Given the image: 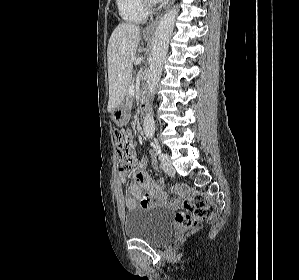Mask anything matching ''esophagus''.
<instances>
[{"instance_id":"34e87169","label":"esophagus","mask_w":299,"mask_h":280,"mask_svg":"<svg viewBox=\"0 0 299 280\" xmlns=\"http://www.w3.org/2000/svg\"><path fill=\"white\" fill-rule=\"evenodd\" d=\"M173 2H174V0H170L168 8L173 4ZM160 19H161V16H159L155 20H153L149 25H147L145 27L144 32L148 33V34H152L155 31Z\"/></svg>"}]
</instances>
